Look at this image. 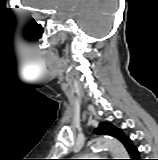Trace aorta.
<instances>
[{
	"label": "aorta",
	"mask_w": 158,
	"mask_h": 160,
	"mask_svg": "<svg viewBox=\"0 0 158 160\" xmlns=\"http://www.w3.org/2000/svg\"><path fill=\"white\" fill-rule=\"evenodd\" d=\"M93 149L107 148L114 159H128V153L121 142L111 137H99L91 144Z\"/></svg>",
	"instance_id": "obj_1"
}]
</instances>
